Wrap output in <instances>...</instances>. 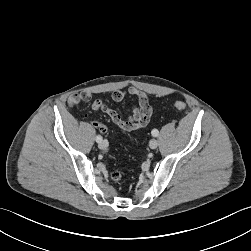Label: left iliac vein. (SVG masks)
Instances as JSON below:
<instances>
[{
    "instance_id": "obj_1",
    "label": "left iliac vein",
    "mask_w": 251,
    "mask_h": 251,
    "mask_svg": "<svg viewBox=\"0 0 251 251\" xmlns=\"http://www.w3.org/2000/svg\"><path fill=\"white\" fill-rule=\"evenodd\" d=\"M149 146L151 149H156L158 147V141L155 139L150 140Z\"/></svg>"
}]
</instances>
